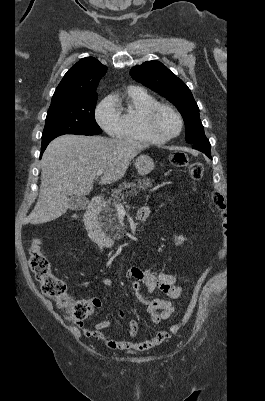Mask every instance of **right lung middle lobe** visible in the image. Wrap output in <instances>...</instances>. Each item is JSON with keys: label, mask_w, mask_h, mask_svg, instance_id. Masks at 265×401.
<instances>
[{"label": "right lung middle lobe", "mask_w": 265, "mask_h": 401, "mask_svg": "<svg viewBox=\"0 0 265 401\" xmlns=\"http://www.w3.org/2000/svg\"><path fill=\"white\" fill-rule=\"evenodd\" d=\"M96 102L97 95H91L50 106L42 133V143L50 142L64 134L102 133L94 116Z\"/></svg>", "instance_id": "1"}]
</instances>
